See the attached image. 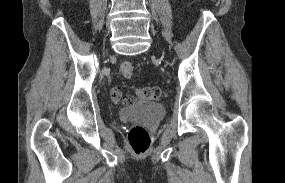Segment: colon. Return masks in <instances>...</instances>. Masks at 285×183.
<instances>
[{
	"label": "colon",
	"instance_id": "obj_1",
	"mask_svg": "<svg viewBox=\"0 0 285 183\" xmlns=\"http://www.w3.org/2000/svg\"><path fill=\"white\" fill-rule=\"evenodd\" d=\"M120 72L123 77L131 78L134 73V66L129 62H125L120 66ZM163 95V91L160 87H143L135 90V97H129L124 99L125 104H131L135 99L143 100H158ZM128 143L132 152L136 155L144 154L151 143V138L148 131L142 126H133L128 134Z\"/></svg>",
	"mask_w": 285,
	"mask_h": 183
}]
</instances>
